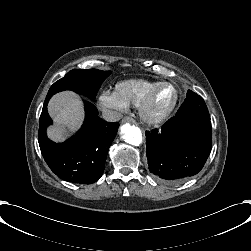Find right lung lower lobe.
Masks as SVG:
<instances>
[{
    "mask_svg": "<svg viewBox=\"0 0 251 251\" xmlns=\"http://www.w3.org/2000/svg\"><path fill=\"white\" fill-rule=\"evenodd\" d=\"M44 102L39 120L38 141L49 168L61 179L78 184H91L104 172L109 147L119 127L98 116L96 107L85 101V120L81 129L64 143L48 139L46 128L52 123Z\"/></svg>",
    "mask_w": 251,
    "mask_h": 251,
    "instance_id": "1",
    "label": "right lung lower lobe"
}]
</instances>
